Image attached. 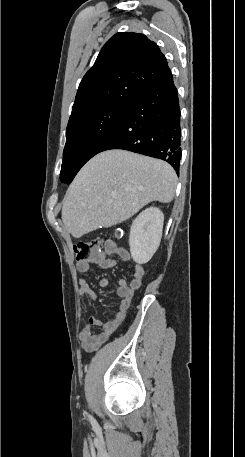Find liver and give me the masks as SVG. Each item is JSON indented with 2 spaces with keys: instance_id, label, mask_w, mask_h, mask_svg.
<instances>
[{
  "instance_id": "1",
  "label": "liver",
  "mask_w": 245,
  "mask_h": 457,
  "mask_svg": "<svg viewBox=\"0 0 245 457\" xmlns=\"http://www.w3.org/2000/svg\"><path fill=\"white\" fill-rule=\"evenodd\" d=\"M177 184L171 164L130 150H104L88 160L71 182L62 220L75 239L133 216L152 200L170 202ZM115 196V198H113Z\"/></svg>"
}]
</instances>
